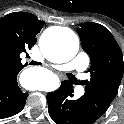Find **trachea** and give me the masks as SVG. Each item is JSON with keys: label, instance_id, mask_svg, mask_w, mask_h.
<instances>
[{"label": "trachea", "instance_id": "3493384b", "mask_svg": "<svg viewBox=\"0 0 124 124\" xmlns=\"http://www.w3.org/2000/svg\"><path fill=\"white\" fill-rule=\"evenodd\" d=\"M31 64H35V63H32V62H31ZM67 76L70 78V77H72L73 75L70 74V73H68Z\"/></svg>", "mask_w": 124, "mask_h": 124}]
</instances>
